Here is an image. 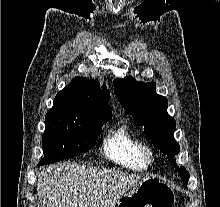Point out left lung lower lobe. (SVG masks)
Listing matches in <instances>:
<instances>
[{"label": "left lung lower lobe", "mask_w": 220, "mask_h": 207, "mask_svg": "<svg viewBox=\"0 0 220 207\" xmlns=\"http://www.w3.org/2000/svg\"><path fill=\"white\" fill-rule=\"evenodd\" d=\"M176 171L181 175L183 180V185L187 188V183L189 179V172L184 167H176Z\"/></svg>", "instance_id": "obj_1"}]
</instances>
